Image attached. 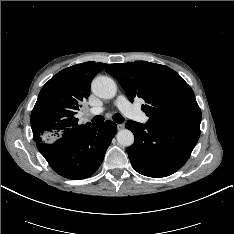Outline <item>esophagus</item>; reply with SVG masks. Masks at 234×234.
<instances>
[{
	"label": "esophagus",
	"instance_id": "1",
	"mask_svg": "<svg viewBox=\"0 0 234 234\" xmlns=\"http://www.w3.org/2000/svg\"><path fill=\"white\" fill-rule=\"evenodd\" d=\"M117 129L118 130L124 129V124H117Z\"/></svg>",
	"mask_w": 234,
	"mask_h": 234
}]
</instances>
